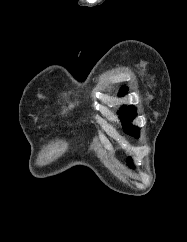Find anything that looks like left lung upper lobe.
I'll return each mask as SVG.
<instances>
[{"instance_id": "left-lung-upper-lobe-1", "label": "left lung upper lobe", "mask_w": 187, "mask_h": 242, "mask_svg": "<svg viewBox=\"0 0 187 242\" xmlns=\"http://www.w3.org/2000/svg\"><path fill=\"white\" fill-rule=\"evenodd\" d=\"M128 91V87H122L119 90V97L124 96L125 94H127ZM119 118L121 119V121L123 122V126H124V130L127 134L135 136L136 138L139 137V127L131 125L130 122L136 117V108L133 105H129V106H122L119 109ZM128 165L130 167H133L132 164V160L129 158L128 159Z\"/></svg>"}]
</instances>
